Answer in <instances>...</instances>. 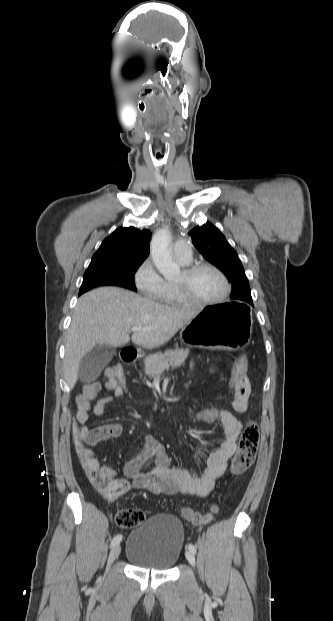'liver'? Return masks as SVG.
I'll list each match as a JSON object with an SVG mask.
<instances>
[{
	"label": "liver",
	"instance_id": "liver-1",
	"mask_svg": "<svg viewBox=\"0 0 333 621\" xmlns=\"http://www.w3.org/2000/svg\"><path fill=\"white\" fill-rule=\"evenodd\" d=\"M197 314L115 287L98 288L82 295L65 343L63 368L68 388H74L81 360L96 345H125L130 340V328L137 326L149 330L133 331L132 342L146 349L156 348L168 342Z\"/></svg>",
	"mask_w": 333,
	"mask_h": 621
}]
</instances>
